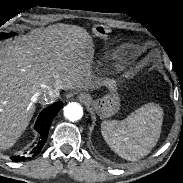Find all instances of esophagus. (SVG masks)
Wrapping results in <instances>:
<instances>
[{"mask_svg":"<svg viewBox=\"0 0 183 183\" xmlns=\"http://www.w3.org/2000/svg\"><path fill=\"white\" fill-rule=\"evenodd\" d=\"M81 97L84 99V98H86V96H84V95H81Z\"/></svg>","mask_w":183,"mask_h":183,"instance_id":"obj_1","label":"esophagus"}]
</instances>
